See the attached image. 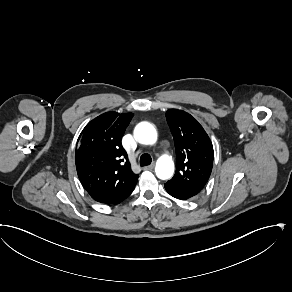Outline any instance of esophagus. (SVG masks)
Listing matches in <instances>:
<instances>
[{"instance_id": "1", "label": "esophagus", "mask_w": 292, "mask_h": 292, "mask_svg": "<svg viewBox=\"0 0 292 292\" xmlns=\"http://www.w3.org/2000/svg\"><path fill=\"white\" fill-rule=\"evenodd\" d=\"M154 166H155V164L152 163V164L149 165V166H144V167H143V170H152V169L154 168Z\"/></svg>"}]
</instances>
